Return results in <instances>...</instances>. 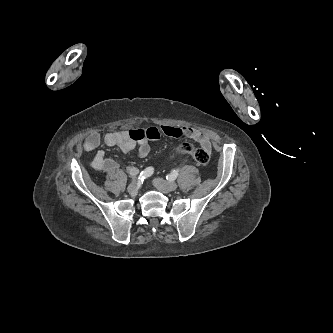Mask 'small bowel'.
I'll return each mask as SVG.
<instances>
[{
    "label": "small bowel",
    "mask_w": 333,
    "mask_h": 333,
    "mask_svg": "<svg viewBox=\"0 0 333 333\" xmlns=\"http://www.w3.org/2000/svg\"><path fill=\"white\" fill-rule=\"evenodd\" d=\"M161 134L175 138L189 137L199 143L201 148L208 152L212 148L210 138L200 130L191 127H175L170 125L131 131H114L107 133L103 141L107 146L117 147L125 153L137 148L138 156L145 158L150 152L148 141L159 138ZM101 140L98 133H91L84 141L83 147L86 151H95L91 161L94 169L114 173L117 169V163L112 159H108L103 150L98 149Z\"/></svg>",
    "instance_id": "1"
}]
</instances>
